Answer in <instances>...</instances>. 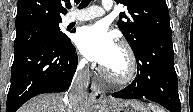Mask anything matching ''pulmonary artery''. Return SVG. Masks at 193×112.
Here are the masks:
<instances>
[{
	"mask_svg": "<svg viewBox=\"0 0 193 112\" xmlns=\"http://www.w3.org/2000/svg\"><path fill=\"white\" fill-rule=\"evenodd\" d=\"M112 6L113 2L111 0H105L102 3V7L91 6L80 12L69 14L68 16H66L64 24L68 25L73 22H83L101 17L105 12L109 11L112 8Z\"/></svg>",
	"mask_w": 193,
	"mask_h": 112,
	"instance_id": "e3ab8cb5",
	"label": "pulmonary artery"
}]
</instances>
